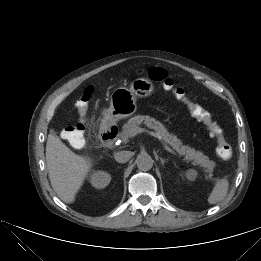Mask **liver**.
<instances>
[{"instance_id":"6515ba94","label":"liver","mask_w":261,"mask_h":261,"mask_svg":"<svg viewBox=\"0 0 261 261\" xmlns=\"http://www.w3.org/2000/svg\"><path fill=\"white\" fill-rule=\"evenodd\" d=\"M46 163L51 186L57 196L65 203H73L92 168L91 160L75 154L58 136L49 134Z\"/></svg>"}]
</instances>
